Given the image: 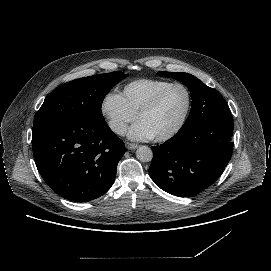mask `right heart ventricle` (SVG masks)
Masks as SVG:
<instances>
[{
    "instance_id": "right-heart-ventricle-1",
    "label": "right heart ventricle",
    "mask_w": 271,
    "mask_h": 271,
    "mask_svg": "<svg viewBox=\"0 0 271 271\" xmlns=\"http://www.w3.org/2000/svg\"><path fill=\"white\" fill-rule=\"evenodd\" d=\"M172 81L160 78H141L125 83L120 96L124 105L134 115L148 104L152 98Z\"/></svg>"
}]
</instances>
